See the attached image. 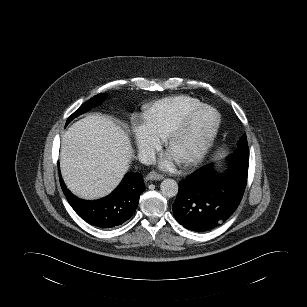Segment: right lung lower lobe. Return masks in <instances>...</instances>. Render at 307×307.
Instances as JSON below:
<instances>
[{
	"mask_svg": "<svg viewBox=\"0 0 307 307\" xmlns=\"http://www.w3.org/2000/svg\"><path fill=\"white\" fill-rule=\"evenodd\" d=\"M60 184L71 207L92 226L109 229L121 225L134 214L144 180L139 173H127L120 185L105 198L87 201L77 198L65 186L61 175Z\"/></svg>",
	"mask_w": 307,
	"mask_h": 307,
	"instance_id": "obj_1",
	"label": "right lung lower lobe"
}]
</instances>
